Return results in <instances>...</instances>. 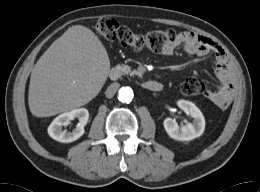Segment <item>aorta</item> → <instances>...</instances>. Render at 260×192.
<instances>
[{
	"instance_id": "aorta-1",
	"label": "aorta",
	"mask_w": 260,
	"mask_h": 192,
	"mask_svg": "<svg viewBox=\"0 0 260 192\" xmlns=\"http://www.w3.org/2000/svg\"><path fill=\"white\" fill-rule=\"evenodd\" d=\"M133 96V90L130 87H122L118 93V99L123 103H130Z\"/></svg>"
}]
</instances>
